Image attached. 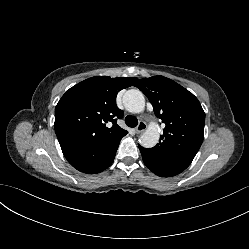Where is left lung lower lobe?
I'll return each mask as SVG.
<instances>
[{"instance_id":"0a47b994","label":"left lung lower lobe","mask_w":249,"mask_h":249,"mask_svg":"<svg viewBox=\"0 0 249 249\" xmlns=\"http://www.w3.org/2000/svg\"><path fill=\"white\" fill-rule=\"evenodd\" d=\"M144 164L161 177L175 176L184 171L191 162L155 155L139 145Z\"/></svg>"}]
</instances>
